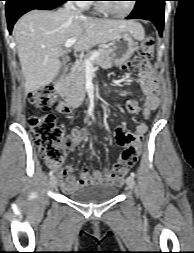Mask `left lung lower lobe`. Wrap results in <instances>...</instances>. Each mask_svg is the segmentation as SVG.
<instances>
[{
    "instance_id": "1",
    "label": "left lung lower lobe",
    "mask_w": 194,
    "mask_h": 253,
    "mask_svg": "<svg viewBox=\"0 0 194 253\" xmlns=\"http://www.w3.org/2000/svg\"><path fill=\"white\" fill-rule=\"evenodd\" d=\"M136 5L127 19H147L152 21L159 34L162 35L164 26L165 1L167 0H134Z\"/></svg>"
}]
</instances>
